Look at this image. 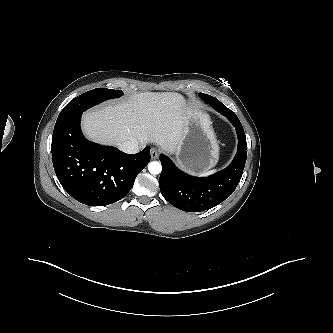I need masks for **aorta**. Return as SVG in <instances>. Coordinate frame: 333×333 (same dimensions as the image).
Segmentation results:
<instances>
[{
  "label": "aorta",
  "mask_w": 333,
  "mask_h": 333,
  "mask_svg": "<svg viewBox=\"0 0 333 333\" xmlns=\"http://www.w3.org/2000/svg\"><path fill=\"white\" fill-rule=\"evenodd\" d=\"M148 170L151 174L157 175L161 172L162 166L158 161H152L148 164Z\"/></svg>",
  "instance_id": "1"
}]
</instances>
